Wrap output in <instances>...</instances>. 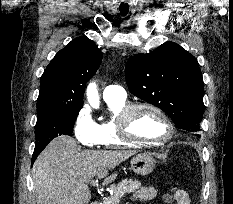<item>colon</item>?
<instances>
[{
  "label": "colon",
  "mask_w": 233,
  "mask_h": 204,
  "mask_svg": "<svg viewBox=\"0 0 233 204\" xmlns=\"http://www.w3.org/2000/svg\"><path fill=\"white\" fill-rule=\"evenodd\" d=\"M181 191V189L178 187L177 184H174L170 190L169 193H167L165 195V198L166 199H170V200H173L176 198V196L178 195V193Z\"/></svg>",
  "instance_id": "1"
}]
</instances>
